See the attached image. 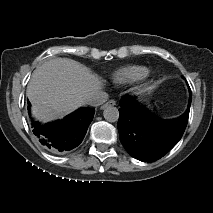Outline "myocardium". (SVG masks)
Instances as JSON below:
<instances>
[{
  "label": "myocardium",
  "mask_w": 213,
  "mask_h": 213,
  "mask_svg": "<svg viewBox=\"0 0 213 213\" xmlns=\"http://www.w3.org/2000/svg\"><path fill=\"white\" fill-rule=\"evenodd\" d=\"M147 76H148V72H147V74H146V76H145L144 78H146ZM144 78H143V79H144Z\"/></svg>",
  "instance_id": "1"
}]
</instances>
